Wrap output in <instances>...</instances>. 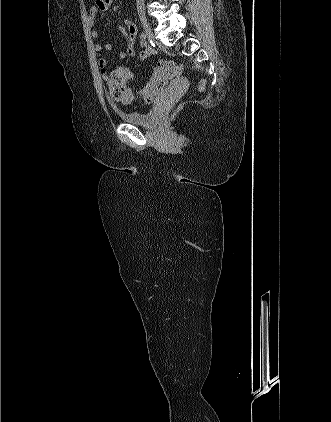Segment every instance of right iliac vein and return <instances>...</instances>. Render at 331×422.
Listing matches in <instances>:
<instances>
[{
  "label": "right iliac vein",
  "instance_id": "63e3f726",
  "mask_svg": "<svg viewBox=\"0 0 331 422\" xmlns=\"http://www.w3.org/2000/svg\"><path fill=\"white\" fill-rule=\"evenodd\" d=\"M140 20H141V24L143 26L145 35L149 38V39H153V33L152 30L150 28V25L146 19V17L144 15L140 16Z\"/></svg>",
  "mask_w": 331,
  "mask_h": 422
}]
</instances>
